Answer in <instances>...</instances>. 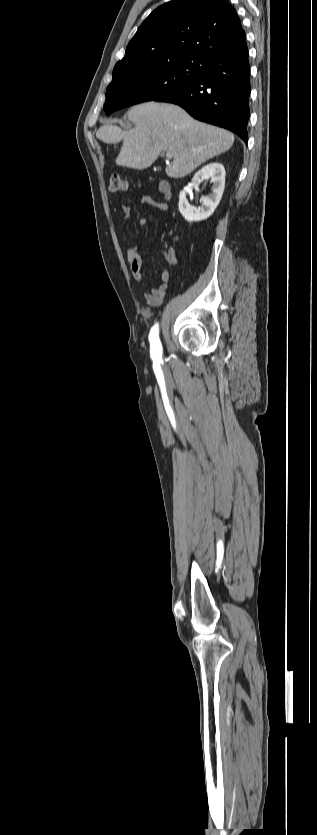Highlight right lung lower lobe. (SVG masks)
Instances as JSON below:
<instances>
[{
	"label": "right lung lower lobe",
	"instance_id": "obj_1",
	"mask_svg": "<svg viewBox=\"0 0 317 835\" xmlns=\"http://www.w3.org/2000/svg\"><path fill=\"white\" fill-rule=\"evenodd\" d=\"M246 36L199 59L198 77L154 101L183 107L197 120L229 129L248 141L250 65Z\"/></svg>",
	"mask_w": 317,
	"mask_h": 835
}]
</instances>
